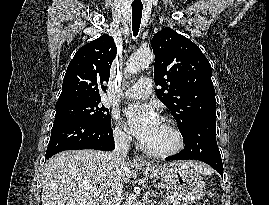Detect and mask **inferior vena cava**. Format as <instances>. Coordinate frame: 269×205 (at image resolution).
<instances>
[{
	"instance_id": "inferior-vena-cava-1",
	"label": "inferior vena cava",
	"mask_w": 269,
	"mask_h": 205,
	"mask_svg": "<svg viewBox=\"0 0 269 205\" xmlns=\"http://www.w3.org/2000/svg\"><path fill=\"white\" fill-rule=\"evenodd\" d=\"M130 140L131 137L124 132L120 130L114 132L115 149L108 154V159L114 170H123L126 164ZM123 188V183L121 181H115L102 199V205H120L124 196Z\"/></svg>"
}]
</instances>
